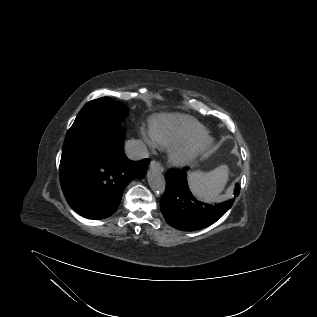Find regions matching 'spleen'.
Listing matches in <instances>:
<instances>
[{
    "mask_svg": "<svg viewBox=\"0 0 317 317\" xmlns=\"http://www.w3.org/2000/svg\"><path fill=\"white\" fill-rule=\"evenodd\" d=\"M228 181V167L221 165L208 172H195L188 176V182L193 194L205 201L216 198Z\"/></svg>",
    "mask_w": 317,
    "mask_h": 317,
    "instance_id": "1",
    "label": "spleen"
}]
</instances>
